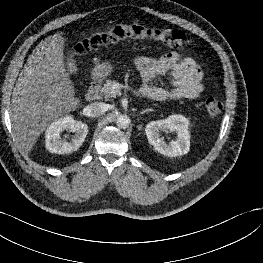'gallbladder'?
Listing matches in <instances>:
<instances>
[{
	"label": "gallbladder",
	"instance_id": "obj_1",
	"mask_svg": "<svg viewBox=\"0 0 263 263\" xmlns=\"http://www.w3.org/2000/svg\"><path fill=\"white\" fill-rule=\"evenodd\" d=\"M66 68L69 74L75 75L78 72L76 61L72 57V54L69 52L66 56Z\"/></svg>",
	"mask_w": 263,
	"mask_h": 263
}]
</instances>
